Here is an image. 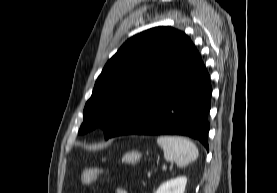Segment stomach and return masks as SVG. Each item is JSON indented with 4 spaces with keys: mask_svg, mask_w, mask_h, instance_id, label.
Listing matches in <instances>:
<instances>
[{
    "mask_svg": "<svg viewBox=\"0 0 277 193\" xmlns=\"http://www.w3.org/2000/svg\"><path fill=\"white\" fill-rule=\"evenodd\" d=\"M141 159V153L138 151H131V152H127L122 160L126 163H131L134 164L136 162H138Z\"/></svg>",
    "mask_w": 277,
    "mask_h": 193,
    "instance_id": "stomach-1",
    "label": "stomach"
}]
</instances>
